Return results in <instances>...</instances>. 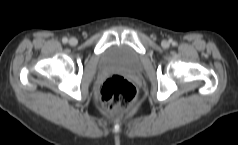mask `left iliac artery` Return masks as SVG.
Returning <instances> with one entry per match:
<instances>
[{
	"mask_svg": "<svg viewBox=\"0 0 238 145\" xmlns=\"http://www.w3.org/2000/svg\"><path fill=\"white\" fill-rule=\"evenodd\" d=\"M171 43H172V45H175V44H176L175 41H173V40L171 41Z\"/></svg>",
	"mask_w": 238,
	"mask_h": 145,
	"instance_id": "left-iliac-artery-1",
	"label": "left iliac artery"
}]
</instances>
